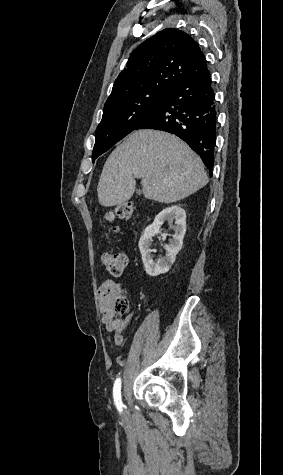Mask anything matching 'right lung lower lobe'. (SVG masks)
<instances>
[{
    "mask_svg": "<svg viewBox=\"0 0 283 475\" xmlns=\"http://www.w3.org/2000/svg\"><path fill=\"white\" fill-rule=\"evenodd\" d=\"M177 135L202 159L212 176L217 130V104L210 73L172 88L135 128Z\"/></svg>",
    "mask_w": 283,
    "mask_h": 475,
    "instance_id": "1",
    "label": "right lung lower lobe"
}]
</instances>
